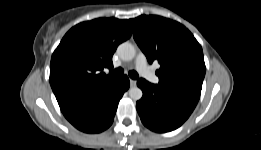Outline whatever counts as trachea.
<instances>
[{
	"label": "trachea",
	"instance_id": "trachea-1",
	"mask_svg": "<svg viewBox=\"0 0 261 150\" xmlns=\"http://www.w3.org/2000/svg\"><path fill=\"white\" fill-rule=\"evenodd\" d=\"M123 73H124V70L122 68H117L111 74H112V76H121V75H123ZM129 76L132 79H137L139 77L138 73L133 70L129 72Z\"/></svg>",
	"mask_w": 261,
	"mask_h": 150
}]
</instances>
